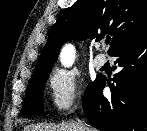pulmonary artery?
<instances>
[{"label":"pulmonary artery","instance_id":"e3ab8cb5","mask_svg":"<svg viewBox=\"0 0 147 131\" xmlns=\"http://www.w3.org/2000/svg\"><path fill=\"white\" fill-rule=\"evenodd\" d=\"M107 62V58L105 55L103 54H98L95 59H94V65L97 68H101L105 65V63Z\"/></svg>","mask_w":147,"mask_h":131}]
</instances>
